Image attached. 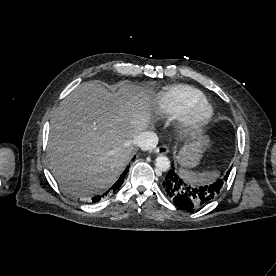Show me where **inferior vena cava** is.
I'll list each match as a JSON object with an SVG mask.
<instances>
[{"mask_svg": "<svg viewBox=\"0 0 276 276\" xmlns=\"http://www.w3.org/2000/svg\"><path fill=\"white\" fill-rule=\"evenodd\" d=\"M133 144L140 147V149L147 151L154 149L158 144V136L151 131L142 132L133 139Z\"/></svg>", "mask_w": 276, "mask_h": 276, "instance_id": "602c4592", "label": "inferior vena cava"}]
</instances>
